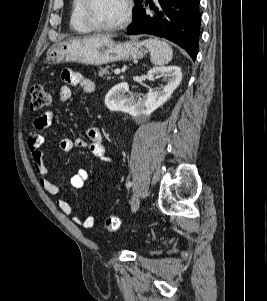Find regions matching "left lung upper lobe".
Masks as SVG:
<instances>
[{
    "label": "left lung upper lobe",
    "instance_id": "1",
    "mask_svg": "<svg viewBox=\"0 0 267 301\" xmlns=\"http://www.w3.org/2000/svg\"><path fill=\"white\" fill-rule=\"evenodd\" d=\"M134 2H135V7L133 9V17L137 14L139 9L141 8L143 0H134Z\"/></svg>",
    "mask_w": 267,
    "mask_h": 301
}]
</instances>
